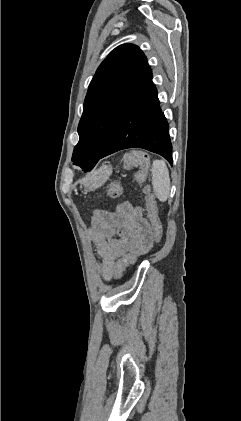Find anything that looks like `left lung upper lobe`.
Wrapping results in <instances>:
<instances>
[{"label": "left lung upper lobe", "mask_w": 241, "mask_h": 421, "mask_svg": "<svg viewBox=\"0 0 241 421\" xmlns=\"http://www.w3.org/2000/svg\"><path fill=\"white\" fill-rule=\"evenodd\" d=\"M147 67L143 52L133 44L115 48L98 67L78 125L80 140L72 156L75 165L91 164L105 151Z\"/></svg>", "instance_id": "1"}]
</instances>
